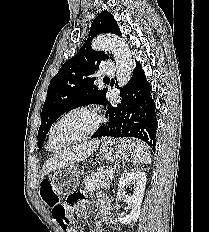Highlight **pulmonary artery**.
Segmentation results:
<instances>
[{
  "label": "pulmonary artery",
  "mask_w": 209,
  "mask_h": 232,
  "mask_svg": "<svg viewBox=\"0 0 209 232\" xmlns=\"http://www.w3.org/2000/svg\"><path fill=\"white\" fill-rule=\"evenodd\" d=\"M115 73V66L111 62H106L101 68V74L111 76Z\"/></svg>",
  "instance_id": "pulmonary-artery-1"
}]
</instances>
